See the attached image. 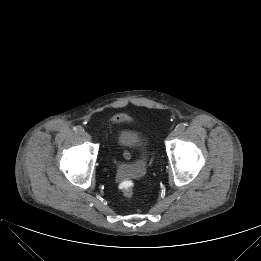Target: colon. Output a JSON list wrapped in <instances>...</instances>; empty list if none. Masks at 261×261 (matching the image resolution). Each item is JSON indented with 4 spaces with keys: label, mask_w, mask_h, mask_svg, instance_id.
Segmentation results:
<instances>
[{
    "label": "colon",
    "mask_w": 261,
    "mask_h": 261,
    "mask_svg": "<svg viewBox=\"0 0 261 261\" xmlns=\"http://www.w3.org/2000/svg\"><path fill=\"white\" fill-rule=\"evenodd\" d=\"M118 188L121 191L122 195L130 199L134 194V183L128 174L124 171H120L117 174Z\"/></svg>",
    "instance_id": "1"
}]
</instances>
